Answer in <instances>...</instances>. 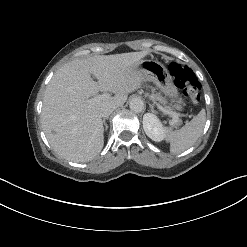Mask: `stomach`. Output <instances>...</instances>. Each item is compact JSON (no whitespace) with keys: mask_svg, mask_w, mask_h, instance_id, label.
Returning <instances> with one entry per match:
<instances>
[{"mask_svg":"<svg viewBox=\"0 0 247 247\" xmlns=\"http://www.w3.org/2000/svg\"><path fill=\"white\" fill-rule=\"evenodd\" d=\"M129 70L134 78H146L155 83L166 96L171 98L173 109L179 111L183 109L184 103L177 86L168 70L161 63L150 59L138 60L130 65Z\"/></svg>","mask_w":247,"mask_h":247,"instance_id":"1","label":"stomach"}]
</instances>
